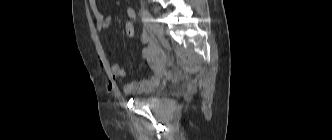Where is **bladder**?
Here are the masks:
<instances>
[{"label": "bladder", "mask_w": 332, "mask_h": 140, "mask_svg": "<svg viewBox=\"0 0 332 140\" xmlns=\"http://www.w3.org/2000/svg\"><path fill=\"white\" fill-rule=\"evenodd\" d=\"M160 84H161L160 79L158 78L150 79L149 85L144 91L140 93V95L137 97V100L147 101L158 91Z\"/></svg>", "instance_id": "bladder-1"}]
</instances>
